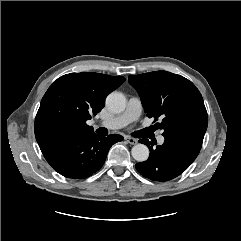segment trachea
<instances>
[{
	"mask_svg": "<svg viewBox=\"0 0 241 241\" xmlns=\"http://www.w3.org/2000/svg\"><path fill=\"white\" fill-rule=\"evenodd\" d=\"M97 133L105 136V135L108 134V131H107L106 128H99V129L97 130Z\"/></svg>",
	"mask_w": 241,
	"mask_h": 241,
	"instance_id": "1",
	"label": "trachea"
}]
</instances>
